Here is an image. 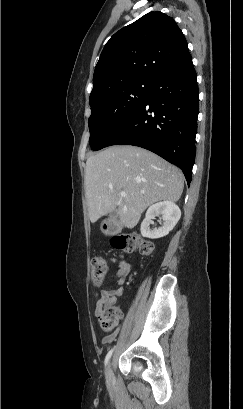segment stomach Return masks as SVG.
Returning <instances> with one entry per match:
<instances>
[{
	"mask_svg": "<svg viewBox=\"0 0 243 409\" xmlns=\"http://www.w3.org/2000/svg\"><path fill=\"white\" fill-rule=\"evenodd\" d=\"M102 231H103V232H107L103 227H102Z\"/></svg>",
	"mask_w": 243,
	"mask_h": 409,
	"instance_id": "obj_1",
	"label": "stomach"
}]
</instances>
